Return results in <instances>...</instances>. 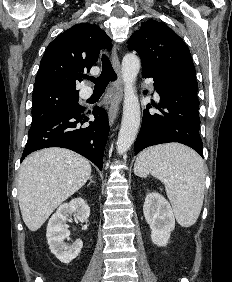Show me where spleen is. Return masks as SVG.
<instances>
[{
  "instance_id": "spleen-1",
  "label": "spleen",
  "mask_w": 232,
  "mask_h": 282,
  "mask_svg": "<svg viewBox=\"0 0 232 282\" xmlns=\"http://www.w3.org/2000/svg\"><path fill=\"white\" fill-rule=\"evenodd\" d=\"M134 173L140 177L152 174L164 183L181 226L197 221L205 190V166L197 153L180 144L154 146L139 154Z\"/></svg>"
}]
</instances>
